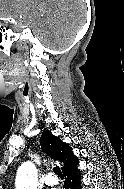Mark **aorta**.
<instances>
[{
    "instance_id": "aorta-1",
    "label": "aorta",
    "mask_w": 124,
    "mask_h": 189,
    "mask_svg": "<svg viewBox=\"0 0 124 189\" xmlns=\"http://www.w3.org/2000/svg\"><path fill=\"white\" fill-rule=\"evenodd\" d=\"M37 169L30 162H24L18 169L16 175V189H37Z\"/></svg>"
}]
</instances>
